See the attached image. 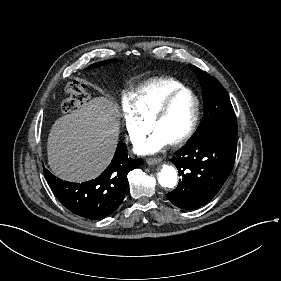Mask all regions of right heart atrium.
I'll return each mask as SVG.
<instances>
[{
  "label": "right heart atrium",
  "mask_w": 281,
  "mask_h": 281,
  "mask_svg": "<svg viewBox=\"0 0 281 281\" xmlns=\"http://www.w3.org/2000/svg\"><path fill=\"white\" fill-rule=\"evenodd\" d=\"M122 123L127 141L133 145L142 141L146 134L145 126L138 120L134 110L127 102L122 104Z\"/></svg>",
  "instance_id": "d8ad5b80"
}]
</instances>
